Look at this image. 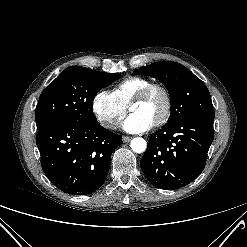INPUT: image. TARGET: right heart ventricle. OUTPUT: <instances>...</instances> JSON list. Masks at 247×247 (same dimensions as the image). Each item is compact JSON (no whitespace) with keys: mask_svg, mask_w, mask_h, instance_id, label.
Returning <instances> with one entry per match:
<instances>
[{"mask_svg":"<svg viewBox=\"0 0 247 247\" xmlns=\"http://www.w3.org/2000/svg\"><path fill=\"white\" fill-rule=\"evenodd\" d=\"M151 82L142 77H127L120 81L113 89L112 93L115 98L125 107L131 99L145 86Z\"/></svg>","mask_w":247,"mask_h":247,"instance_id":"right-heart-ventricle-1","label":"right heart ventricle"}]
</instances>
